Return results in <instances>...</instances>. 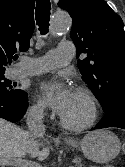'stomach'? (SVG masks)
I'll return each instance as SVG.
<instances>
[{
  "label": "stomach",
  "instance_id": "0dacf381",
  "mask_svg": "<svg viewBox=\"0 0 125 167\" xmlns=\"http://www.w3.org/2000/svg\"><path fill=\"white\" fill-rule=\"evenodd\" d=\"M83 154L96 163H107L113 160L120 152L121 143L119 138L106 129L96 130L88 133L78 144Z\"/></svg>",
  "mask_w": 125,
  "mask_h": 167
}]
</instances>
